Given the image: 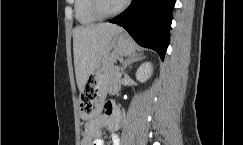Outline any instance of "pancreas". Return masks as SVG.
I'll return each instance as SVG.
<instances>
[{
	"instance_id": "pancreas-1",
	"label": "pancreas",
	"mask_w": 243,
	"mask_h": 145,
	"mask_svg": "<svg viewBox=\"0 0 243 145\" xmlns=\"http://www.w3.org/2000/svg\"><path fill=\"white\" fill-rule=\"evenodd\" d=\"M109 75L114 89H117L120 86L119 71L117 69H111Z\"/></svg>"
}]
</instances>
